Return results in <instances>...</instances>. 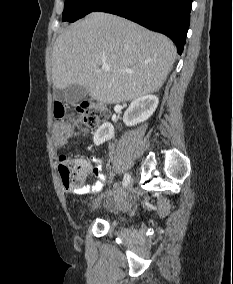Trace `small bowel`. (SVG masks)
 <instances>
[{
  "mask_svg": "<svg viewBox=\"0 0 233 284\" xmlns=\"http://www.w3.org/2000/svg\"><path fill=\"white\" fill-rule=\"evenodd\" d=\"M72 130L71 127L67 125H58L56 129V136L59 143H64L70 136ZM75 163L80 168L82 174L84 176L94 175L96 177V182L91 186L77 187V188H66L69 192L77 193V194H86V193H98L102 190L106 178L102 171V166L96 157H92L91 160L85 158H78L74 160Z\"/></svg>",
  "mask_w": 233,
  "mask_h": 284,
  "instance_id": "obj_1",
  "label": "small bowel"
}]
</instances>
